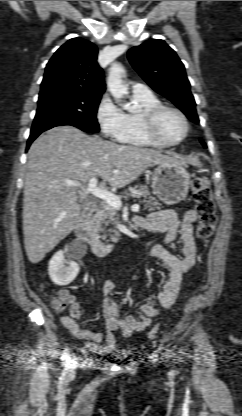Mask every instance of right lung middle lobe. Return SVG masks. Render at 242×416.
Returning a JSON list of instances; mask_svg holds the SVG:
<instances>
[{"label": "right lung middle lobe", "instance_id": "right-lung-middle-lobe-1", "mask_svg": "<svg viewBox=\"0 0 242 416\" xmlns=\"http://www.w3.org/2000/svg\"><path fill=\"white\" fill-rule=\"evenodd\" d=\"M100 99L101 95L61 91L40 95L31 130L71 121L81 125L83 131L96 133L99 131L96 113Z\"/></svg>", "mask_w": 242, "mask_h": 416}]
</instances>
